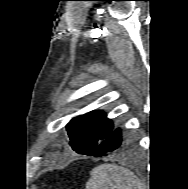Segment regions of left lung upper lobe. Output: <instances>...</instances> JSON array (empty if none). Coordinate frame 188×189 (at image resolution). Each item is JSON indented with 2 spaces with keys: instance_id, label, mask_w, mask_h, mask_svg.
<instances>
[{
  "instance_id": "obj_1",
  "label": "left lung upper lobe",
  "mask_w": 188,
  "mask_h": 189,
  "mask_svg": "<svg viewBox=\"0 0 188 189\" xmlns=\"http://www.w3.org/2000/svg\"><path fill=\"white\" fill-rule=\"evenodd\" d=\"M66 129L72 149L87 155L113 131V123L104 112L91 111L73 118Z\"/></svg>"
}]
</instances>
